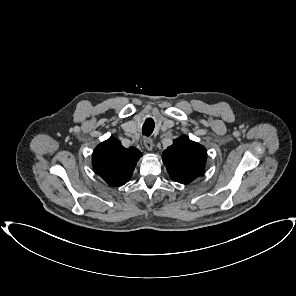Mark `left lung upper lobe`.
I'll use <instances>...</instances> for the list:
<instances>
[{"label":"left lung upper lobe","instance_id":"left-lung-upper-lobe-1","mask_svg":"<svg viewBox=\"0 0 296 296\" xmlns=\"http://www.w3.org/2000/svg\"><path fill=\"white\" fill-rule=\"evenodd\" d=\"M206 159L205 147L186 135L175 139L162 154L170 178L185 185L204 173Z\"/></svg>","mask_w":296,"mask_h":296}]
</instances>
